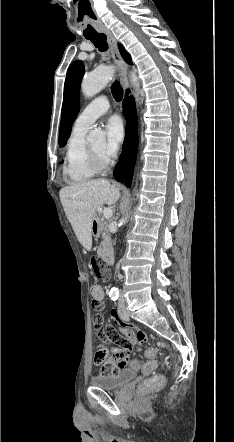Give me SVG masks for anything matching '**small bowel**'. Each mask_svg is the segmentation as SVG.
Segmentation results:
<instances>
[{"label": "small bowel", "instance_id": "c3829d8e", "mask_svg": "<svg viewBox=\"0 0 234 442\" xmlns=\"http://www.w3.org/2000/svg\"><path fill=\"white\" fill-rule=\"evenodd\" d=\"M111 316L118 322L120 331L112 324H109L108 328L104 329L102 315L96 314L93 317V326L95 327V332L100 334L101 343L107 342L117 344L120 349L130 352L131 347L134 344H142L146 341V334L143 331L137 330L134 326L123 324V322L120 321L116 310H111ZM120 332L122 333V336Z\"/></svg>", "mask_w": 234, "mask_h": 442}]
</instances>
